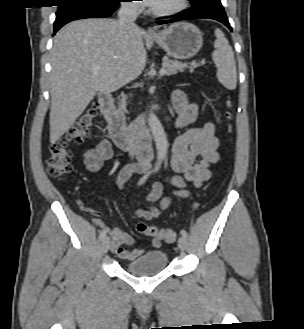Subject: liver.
<instances>
[{"label":"liver","instance_id":"liver-1","mask_svg":"<svg viewBox=\"0 0 304 329\" xmlns=\"http://www.w3.org/2000/svg\"><path fill=\"white\" fill-rule=\"evenodd\" d=\"M146 61L137 26L123 32L113 19H83L60 29L51 49L50 142L69 130L98 91L113 92L137 78Z\"/></svg>","mask_w":304,"mask_h":329}]
</instances>
